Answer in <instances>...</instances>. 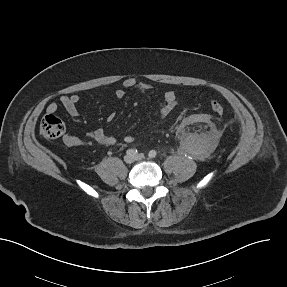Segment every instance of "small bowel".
I'll return each mask as SVG.
<instances>
[{
	"instance_id": "c3829d8e",
	"label": "small bowel",
	"mask_w": 287,
	"mask_h": 287,
	"mask_svg": "<svg viewBox=\"0 0 287 287\" xmlns=\"http://www.w3.org/2000/svg\"><path fill=\"white\" fill-rule=\"evenodd\" d=\"M123 87L125 89L129 90H136L141 94H144L148 91H158V87L151 85L146 82H140L137 81L134 78H126L123 81ZM124 90L118 89L115 92V95L117 98H123L124 97ZM81 97L78 94H72L69 96H62L59 99V102H52L47 106V112L48 113H55L58 111L59 107H62L68 115L72 117H77L81 113L77 108V104L80 102ZM177 104V97L176 94L173 91H166L163 95V100L158 106V116L160 119H165L169 116V114L172 112V110L175 108ZM87 138L105 146L114 145L117 142V139L114 136L109 135L105 130L103 129H96L94 131H91L87 134ZM63 141L68 146H80L83 144V139L72 135V134H66L63 137ZM122 141L125 143H132L134 141V137L131 135H124L122 137Z\"/></svg>"
}]
</instances>
